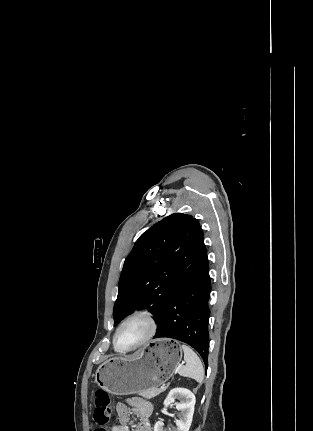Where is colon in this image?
Masks as SVG:
<instances>
[{
    "label": "colon",
    "mask_w": 313,
    "mask_h": 431,
    "mask_svg": "<svg viewBox=\"0 0 313 431\" xmlns=\"http://www.w3.org/2000/svg\"><path fill=\"white\" fill-rule=\"evenodd\" d=\"M110 396L104 390L95 392L94 420L98 427L94 431H108L107 424L111 417Z\"/></svg>",
    "instance_id": "5ec220e1"
}]
</instances>
